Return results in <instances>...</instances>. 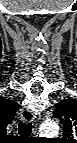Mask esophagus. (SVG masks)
Wrapping results in <instances>:
<instances>
[{"label":"esophagus","instance_id":"obj_1","mask_svg":"<svg viewBox=\"0 0 77 143\" xmlns=\"http://www.w3.org/2000/svg\"><path fill=\"white\" fill-rule=\"evenodd\" d=\"M20 117L24 122H31L35 119V114L29 110V109H25L20 113Z\"/></svg>","mask_w":77,"mask_h":143}]
</instances>
